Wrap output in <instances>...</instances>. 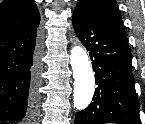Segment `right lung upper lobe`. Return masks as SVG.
<instances>
[{"label": "right lung upper lobe", "mask_w": 145, "mask_h": 124, "mask_svg": "<svg viewBox=\"0 0 145 124\" xmlns=\"http://www.w3.org/2000/svg\"><path fill=\"white\" fill-rule=\"evenodd\" d=\"M40 14L33 0H4L0 4V36H13L36 29Z\"/></svg>", "instance_id": "obj_1"}]
</instances>
